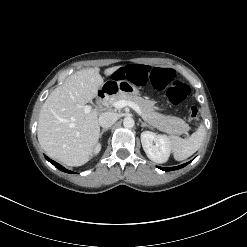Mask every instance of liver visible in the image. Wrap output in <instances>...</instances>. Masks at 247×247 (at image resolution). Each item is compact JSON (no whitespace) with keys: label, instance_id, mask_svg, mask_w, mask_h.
Instances as JSON below:
<instances>
[{"label":"liver","instance_id":"obj_1","mask_svg":"<svg viewBox=\"0 0 247 247\" xmlns=\"http://www.w3.org/2000/svg\"><path fill=\"white\" fill-rule=\"evenodd\" d=\"M119 66L104 71L112 75ZM100 69L80 70L67 77L54 89L43 104L38 120V141L51 158L68 166H82L90 159L98 144L100 126L98 111L87 114L78 105L95 98L103 85Z\"/></svg>","mask_w":247,"mask_h":247}]
</instances>
